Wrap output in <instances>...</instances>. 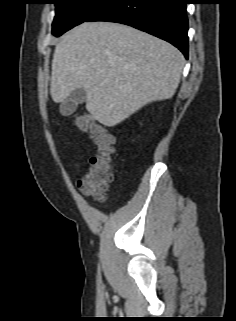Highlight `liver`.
<instances>
[{"label":"liver","mask_w":236,"mask_h":321,"mask_svg":"<svg viewBox=\"0 0 236 321\" xmlns=\"http://www.w3.org/2000/svg\"><path fill=\"white\" fill-rule=\"evenodd\" d=\"M184 63L176 47L148 33L119 23L84 22L55 47L50 93L62 103L84 88L87 111L111 127L148 103L171 98Z\"/></svg>","instance_id":"liver-1"}]
</instances>
